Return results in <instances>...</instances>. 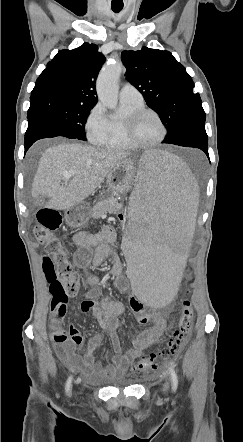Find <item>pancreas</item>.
Masks as SVG:
<instances>
[{
  "mask_svg": "<svg viewBox=\"0 0 243 442\" xmlns=\"http://www.w3.org/2000/svg\"><path fill=\"white\" fill-rule=\"evenodd\" d=\"M122 208V204L118 203L117 199L110 197L106 199H102L95 204V206L91 209V217L94 219H98L102 216H105L107 213H115Z\"/></svg>",
  "mask_w": 243,
  "mask_h": 442,
  "instance_id": "cf45deb5",
  "label": "pancreas"
}]
</instances>
